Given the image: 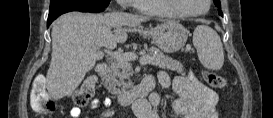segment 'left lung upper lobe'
<instances>
[{
    "label": "left lung upper lobe",
    "mask_w": 273,
    "mask_h": 118,
    "mask_svg": "<svg viewBox=\"0 0 273 118\" xmlns=\"http://www.w3.org/2000/svg\"><path fill=\"white\" fill-rule=\"evenodd\" d=\"M214 4L218 7L219 15L223 16L222 11H221V3L220 0H213Z\"/></svg>",
    "instance_id": "1"
}]
</instances>
